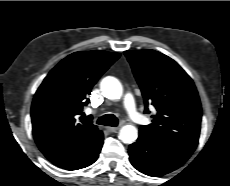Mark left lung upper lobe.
I'll return each instance as SVG.
<instances>
[{"label":"left lung upper lobe","instance_id":"left-lung-upper-lobe-1","mask_svg":"<svg viewBox=\"0 0 230 186\" xmlns=\"http://www.w3.org/2000/svg\"><path fill=\"white\" fill-rule=\"evenodd\" d=\"M145 100L156 108L150 125L139 133L159 141L196 147L202 110L196 87L189 75L170 57L154 50L124 52Z\"/></svg>","mask_w":230,"mask_h":186}]
</instances>
